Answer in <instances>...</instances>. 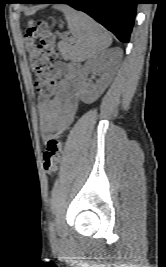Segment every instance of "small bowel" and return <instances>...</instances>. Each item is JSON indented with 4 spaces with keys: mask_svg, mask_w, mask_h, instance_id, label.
I'll return each instance as SVG.
<instances>
[{
    "mask_svg": "<svg viewBox=\"0 0 166 267\" xmlns=\"http://www.w3.org/2000/svg\"><path fill=\"white\" fill-rule=\"evenodd\" d=\"M56 69L63 75L58 94L39 107L42 139L47 141L56 131L66 129L73 121L78 108L75 89L79 69L74 65L58 63Z\"/></svg>",
    "mask_w": 166,
    "mask_h": 267,
    "instance_id": "small-bowel-1",
    "label": "small bowel"
}]
</instances>
